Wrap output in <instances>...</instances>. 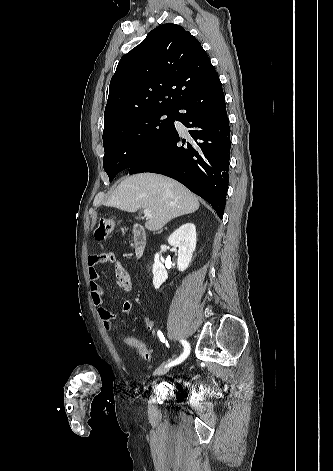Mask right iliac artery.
I'll list each match as a JSON object with an SVG mask.
<instances>
[{
  "label": "right iliac artery",
  "mask_w": 333,
  "mask_h": 471,
  "mask_svg": "<svg viewBox=\"0 0 333 471\" xmlns=\"http://www.w3.org/2000/svg\"><path fill=\"white\" fill-rule=\"evenodd\" d=\"M181 343L184 346L183 353L180 355V357H178L177 359L169 362L166 366L170 367V366L177 365V364L181 363L182 361H184L187 358V356L189 355V353H190L189 343L185 340H181Z\"/></svg>",
  "instance_id": "1"
}]
</instances>
